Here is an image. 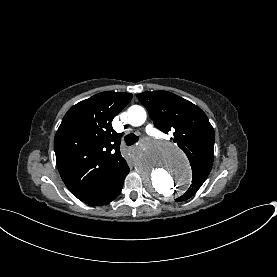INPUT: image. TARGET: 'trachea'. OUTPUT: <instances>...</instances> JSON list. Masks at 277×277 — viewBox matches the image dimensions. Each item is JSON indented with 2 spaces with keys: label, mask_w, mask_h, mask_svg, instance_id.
Wrapping results in <instances>:
<instances>
[{
  "label": "trachea",
  "mask_w": 277,
  "mask_h": 277,
  "mask_svg": "<svg viewBox=\"0 0 277 277\" xmlns=\"http://www.w3.org/2000/svg\"><path fill=\"white\" fill-rule=\"evenodd\" d=\"M124 140H125V143L127 146H131L139 140V137L136 136L135 134L131 133V134H127L125 136Z\"/></svg>",
  "instance_id": "trachea-1"
}]
</instances>
